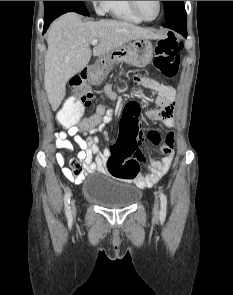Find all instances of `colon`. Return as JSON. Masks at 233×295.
Here are the masks:
<instances>
[{
  "mask_svg": "<svg viewBox=\"0 0 233 295\" xmlns=\"http://www.w3.org/2000/svg\"><path fill=\"white\" fill-rule=\"evenodd\" d=\"M183 44L174 33H169L157 43L154 66L165 77L177 75L180 63V52ZM146 88L160 96L171 98L175 96L172 86L159 83L152 79L140 81ZM73 96L61 108L58 117L63 125L70 126L77 122L85 109L90 108L93 93L88 83L80 77L72 80ZM102 109L82 121L85 129L90 130L99 125ZM120 133L116 143L111 147V156L108 161V172L115 178L132 180L140 171V163L145 160L141 151L145 139L140 130L138 119L130 111H124L120 121ZM148 139L156 144L163 145L159 134L155 131L148 133Z\"/></svg>",
  "mask_w": 233,
  "mask_h": 295,
  "instance_id": "1",
  "label": "colon"
}]
</instances>
